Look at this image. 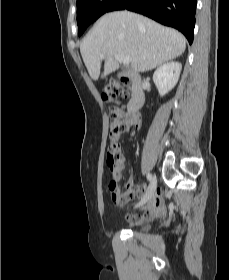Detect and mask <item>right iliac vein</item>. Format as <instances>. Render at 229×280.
<instances>
[{"mask_svg": "<svg viewBox=\"0 0 229 280\" xmlns=\"http://www.w3.org/2000/svg\"><path fill=\"white\" fill-rule=\"evenodd\" d=\"M156 186H157L156 177L153 176V177H152V180H151V183H150V186H149V189H148V194L151 193V192H153V191H155ZM148 194L144 197V199H142V200L140 201V203H139L138 205H142L143 203H145Z\"/></svg>", "mask_w": 229, "mask_h": 280, "instance_id": "right-iliac-vein-1", "label": "right iliac vein"}]
</instances>
